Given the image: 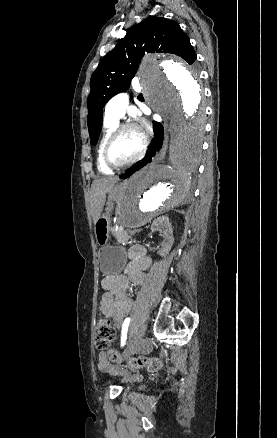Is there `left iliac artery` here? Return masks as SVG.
<instances>
[{
  "label": "left iliac artery",
  "instance_id": "44dca946",
  "mask_svg": "<svg viewBox=\"0 0 277 438\" xmlns=\"http://www.w3.org/2000/svg\"><path fill=\"white\" fill-rule=\"evenodd\" d=\"M130 321H131L130 318H126L124 320V323L122 326V331H121V347H123L125 345V342L127 339L128 326H129Z\"/></svg>",
  "mask_w": 277,
  "mask_h": 438
}]
</instances>
